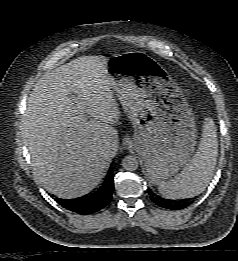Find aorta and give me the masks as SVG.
Wrapping results in <instances>:
<instances>
[{"label": "aorta", "mask_w": 238, "mask_h": 261, "mask_svg": "<svg viewBox=\"0 0 238 261\" xmlns=\"http://www.w3.org/2000/svg\"><path fill=\"white\" fill-rule=\"evenodd\" d=\"M138 165V159L133 155H127L122 160V166L127 171H135Z\"/></svg>", "instance_id": "aorta-1"}]
</instances>
